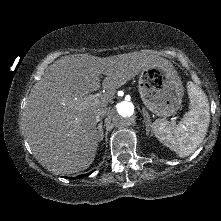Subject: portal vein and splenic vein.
Wrapping results in <instances>:
<instances>
[{
    "instance_id": "18ae733b",
    "label": "portal vein and splenic vein",
    "mask_w": 221,
    "mask_h": 221,
    "mask_svg": "<svg viewBox=\"0 0 221 221\" xmlns=\"http://www.w3.org/2000/svg\"><path fill=\"white\" fill-rule=\"evenodd\" d=\"M96 101H97V99L95 98V96L91 95V96L85 98L83 102L85 105H93L96 103Z\"/></svg>"
}]
</instances>
